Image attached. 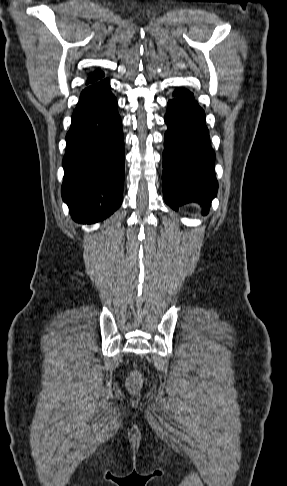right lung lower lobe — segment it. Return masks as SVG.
Returning <instances> with one entry per match:
<instances>
[{"instance_id":"1","label":"right lung lower lobe","mask_w":287,"mask_h":486,"mask_svg":"<svg viewBox=\"0 0 287 486\" xmlns=\"http://www.w3.org/2000/svg\"><path fill=\"white\" fill-rule=\"evenodd\" d=\"M66 142L62 197L72 218L91 224L109 217L124 186L123 133L109 79L81 92Z\"/></svg>"}]
</instances>
